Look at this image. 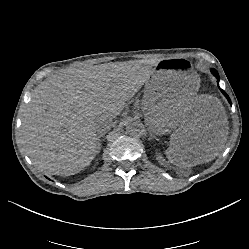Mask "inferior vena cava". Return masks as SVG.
<instances>
[{"label":"inferior vena cava","mask_w":249,"mask_h":249,"mask_svg":"<svg viewBox=\"0 0 249 249\" xmlns=\"http://www.w3.org/2000/svg\"><path fill=\"white\" fill-rule=\"evenodd\" d=\"M95 127L98 132H106L112 127V118L102 115L95 121Z\"/></svg>","instance_id":"obj_1"}]
</instances>
